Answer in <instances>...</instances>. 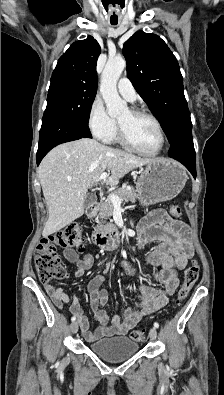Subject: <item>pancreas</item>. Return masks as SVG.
Segmentation results:
<instances>
[{
  "label": "pancreas",
  "instance_id": "obj_1",
  "mask_svg": "<svg viewBox=\"0 0 224 395\" xmlns=\"http://www.w3.org/2000/svg\"><path fill=\"white\" fill-rule=\"evenodd\" d=\"M112 194L122 199V202L123 201L135 202L137 199H139V196L135 192L133 187L131 188L122 187L115 190ZM113 211H114V206L109 198L101 202L98 206L97 222L100 224L103 220L109 219L113 215ZM106 229L115 230L116 227L114 224L111 223L105 226H97V230L99 231H103Z\"/></svg>",
  "mask_w": 224,
  "mask_h": 395
}]
</instances>
